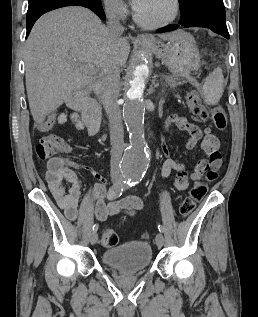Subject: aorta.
Here are the masks:
<instances>
[{
	"instance_id": "aorta-1",
	"label": "aorta",
	"mask_w": 258,
	"mask_h": 317,
	"mask_svg": "<svg viewBox=\"0 0 258 317\" xmlns=\"http://www.w3.org/2000/svg\"><path fill=\"white\" fill-rule=\"evenodd\" d=\"M148 71L145 64H140L135 68L123 105V118L129 133L130 143L121 161V171L126 179L134 181L144 177L149 163L144 136L145 105L142 99L145 76Z\"/></svg>"
}]
</instances>
